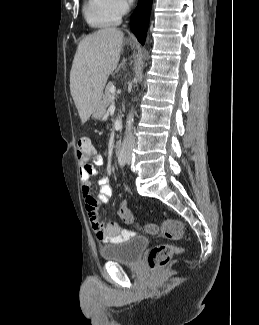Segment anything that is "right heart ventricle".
Segmentation results:
<instances>
[{
  "label": "right heart ventricle",
  "instance_id": "1",
  "mask_svg": "<svg viewBox=\"0 0 259 325\" xmlns=\"http://www.w3.org/2000/svg\"><path fill=\"white\" fill-rule=\"evenodd\" d=\"M86 22L93 28H107L119 22L117 16L110 8L108 0H86L83 7Z\"/></svg>",
  "mask_w": 259,
  "mask_h": 325
}]
</instances>
